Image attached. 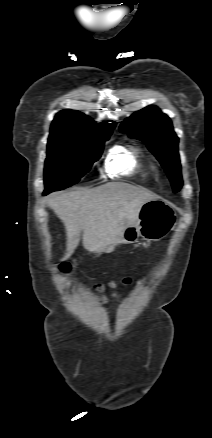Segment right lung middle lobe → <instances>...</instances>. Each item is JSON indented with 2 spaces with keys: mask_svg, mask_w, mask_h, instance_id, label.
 Here are the masks:
<instances>
[{
  "mask_svg": "<svg viewBox=\"0 0 212 438\" xmlns=\"http://www.w3.org/2000/svg\"><path fill=\"white\" fill-rule=\"evenodd\" d=\"M109 137L50 136L44 169L45 189L52 192L77 183L101 157L104 141Z\"/></svg>",
  "mask_w": 212,
  "mask_h": 438,
  "instance_id": "right-lung-middle-lobe-1",
  "label": "right lung middle lobe"
}]
</instances>
